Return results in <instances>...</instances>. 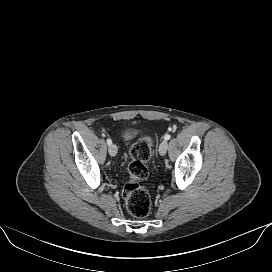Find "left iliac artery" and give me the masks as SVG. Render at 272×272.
Here are the masks:
<instances>
[{"mask_svg":"<svg viewBox=\"0 0 272 272\" xmlns=\"http://www.w3.org/2000/svg\"><path fill=\"white\" fill-rule=\"evenodd\" d=\"M171 138V136L169 135V134H166L165 136H164V139L165 140H169Z\"/></svg>","mask_w":272,"mask_h":272,"instance_id":"1","label":"left iliac artery"}]
</instances>
